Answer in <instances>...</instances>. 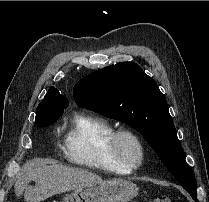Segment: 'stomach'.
<instances>
[{
  "mask_svg": "<svg viewBox=\"0 0 209 202\" xmlns=\"http://www.w3.org/2000/svg\"><path fill=\"white\" fill-rule=\"evenodd\" d=\"M138 191L131 181L111 179L75 189L61 202H129L138 195Z\"/></svg>",
  "mask_w": 209,
  "mask_h": 202,
  "instance_id": "stomach-1",
  "label": "stomach"
}]
</instances>
